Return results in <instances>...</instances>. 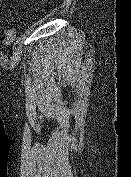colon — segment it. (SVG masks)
I'll use <instances>...</instances> for the list:
<instances>
[{
    "label": "colon",
    "mask_w": 131,
    "mask_h": 177,
    "mask_svg": "<svg viewBox=\"0 0 131 177\" xmlns=\"http://www.w3.org/2000/svg\"><path fill=\"white\" fill-rule=\"evenodd\" d=\"M18 33H19V29L17 27H12V28L8 29V31L6 32L4 37L2 38L3 45L4 46L11 45L15 41Z\"/></svg>",
    "instance_id": "1"
}]
</instances>
